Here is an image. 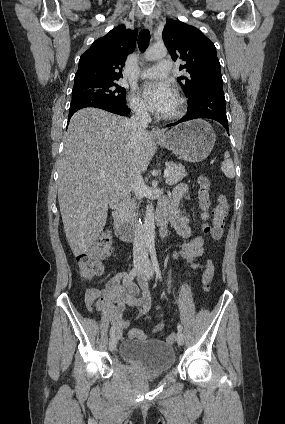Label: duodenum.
Returning a JSON list of instances; mask_svg holds the SVG:
<instances>
[{"label": "duodenum", "mask_w": 285, "mask_h": 424, "mask_svg": "<svg viewBox=\"0 0 285 424\" xmlns=\"http://www.w3.org/2000/svg\"><path fill=\"white\" fill-rule=\"evenodd\" d=\"M113 228L117 237L123 242H131L136 237V228L125 217L123 203L118 201L114 204L112 212ZM157 223L161 236H164L168 227V218L164 214L157 216Z\"/></svg>", "instance_id": "obj_1"}]
</instances>
